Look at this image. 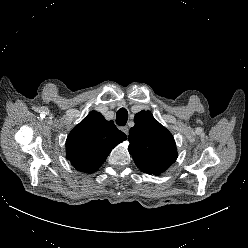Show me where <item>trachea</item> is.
<instances>
[{"label":"trachea","instance_id":"1","mask_svg":"<svg viewBox=\"0 0 248 248\" xmlns=\"http://www.w3.org/2000/svg\"><path fill=\"white\" fill-rule=\"evenodd\" d=\"M128 120V111L125 108H120L116 114V123L124 126Z\"/></svg>","mask_w":248,"mask_h":248}]
</instances>
